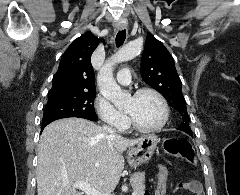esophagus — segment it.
Returning <instances> with one entry per match:
<instances>
[{"label": "esophagus", "mask_w": 240, "mask_h": 195, "mask_svg": "<svg viewBox=\"0 0 240 195\" xmlns=\"http://www.w3.org/2000/svg\"><path fill=\"white\" fill-rule=\"evenodd\" d=\"M126 27H127V24H116V25H114L115 30H123Z\"/></svg>", "instance_id": "esophagus-1"}]
</instances>
